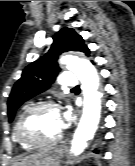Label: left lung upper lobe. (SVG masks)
I'll list each match as a JSON object with an SVG mask.
<instances>
[{
	"mask_svg": "<svg viewBox=\"0 0 135 166\" xmlns=\"http://www.w3.org/2000/svg\"><path fill=\"white\" fill-rule=\"evenodd\" d=\"M67 51H79L89 56V49L82 37L73 29L65 27L53 36L49 51L41 59L28 65L15 83L8 100L9 122L23 102L49 88L60 71L58 56Z\"/></svg>",
	"mask_w": 135,
	"mask_h": 166,
	"instance_id": "obj_1",
	"label": "left lung upper lobe"
}]
</instances>
